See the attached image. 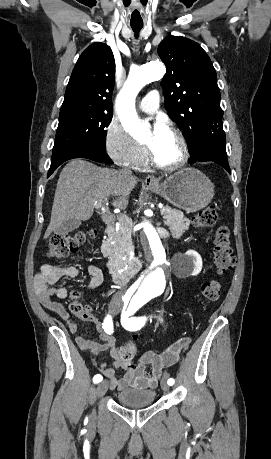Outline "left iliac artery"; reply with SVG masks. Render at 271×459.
Returning a JSON list of instances; mask_svg holds the SVG:
<instances>
[{
	"instance_id": "obj_1",
	"label": "left iliac artery",
	"mask_w": 271,
	"mask_h": 459,
	"mask_svg": "<svg viewBox=\"0 0 271 459\" xmlns=\"http://www.w3.org/2000/svg\"><path fill=\"white\" fill-rule=\"evenodd\" d=\"M140 306L141 304L139 303H132L130 307L123 308L122 314H121V324L126 330L137 331V330H140L144 326L147 320L146 317H138V318L133 317L130 319L128 318L129 316H134L136 313V309ZM174 382L175 381L173 378H170L167 381L168 385H173Z\"/></svg>"
}]
</instances>
